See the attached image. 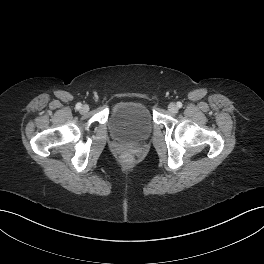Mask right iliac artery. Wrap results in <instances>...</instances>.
<instances>
[{
	"label": "right iliac artery",
	"instance_id": "1",
	"mask_svg": "<svg viewBox=\"0 0 264 264\" xmlns=\"http://www.w3.org/2000/svg\"><path fill=\"white\" fill-rule=\"evenodd\" d=\"M82 104L81 103H77L76 104V109L79 110L81 108Z\"/></svg>",
	"mask_w": 264,
	"mask_h": 264
}]
</instances>
